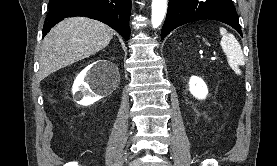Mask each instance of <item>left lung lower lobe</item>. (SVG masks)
<instances>
[{
    "mask_svg": "<svg viewBox=\"0 0 277 166\" xmlns=\"http://www.w3.org/2000/svg\"><path fill=\"white\" fill-rule=\"evenodd\" d=\"M217 20L236 29L242 36L232 0H169L161 39L175 28L198 20Z\"/></svg>",
    "mask_w": 277,
    "mask_h": 166,
    "instance_id": "obj_1",
    "label": "left lung lower lobe"
}]
</instances>
